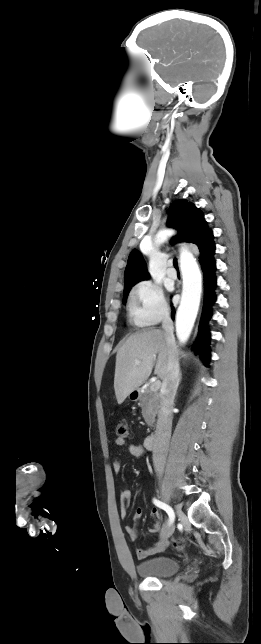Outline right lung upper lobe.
<instances>
[{
  "label": "right lung upper lobe",
  "mask_w": 261,
  "mask_h": 644,
  "mask_svg": "<svg viewBox=\"0 0 261 644\" xmlns=\"http://www.w3.org/2000/svg\"><path fill=\"white\" fill-rule=\"evenodd\" d=\"M167 226L178 230L179 236L173 238L175 242L185 240L198 246L200 262L213 257L215 244L212 230L208 228L203 213L193 203L184 199L174 201L169 208ZM124 277V290L149 278L146 263L136 249L129 255Z\"/></svg>",
  "instance_id": "obj_1"
}]
</instances>
